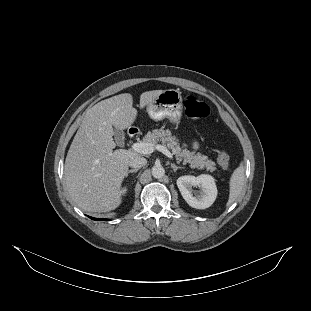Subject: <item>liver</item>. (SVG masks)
I'll return each instance as SVG.
<instances>
[{"label": "liver", "mask_w": 311, "mask_h": 311, "mask_svg": "<svg viewBox=\"0 0 311 311\" xmlns=\"http://www.w3.org/2000/svg\"><path fill=\"white\" fill-rule=\"evenodd\" d=\"M165 90H150L139 96V109L151 106ZM138 119L131 93L119 94L91 107L68 150L64 181L71 199L89 213L117 209L124 200L123 182L135 152H113L114 129L123 132Z\"/></svg>", "instance_id": "liver-1"}]
</instances>
